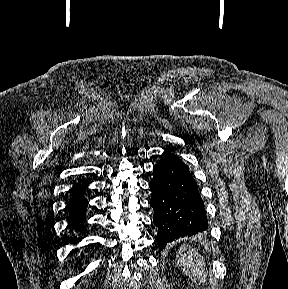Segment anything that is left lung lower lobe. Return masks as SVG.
<instances>
[{
  "label": "left lung lower lobe",
  "instance_id": "1",
  "mask_svg": "<svg viewBox=\"0 0 288 289\" xmlns=\"http://www.w3.org/2000/svg\"><path fill=\"white\" fill-rule=\"evenodd\" d=\"M153 173L149 184L150 205L158 227L159 249L175 239L206 230L204 202L187 166L170 151H165L153 167Z\"/></svg>",
  "mask_w": 288,
  "mask_h": 289
}]
</instances>
